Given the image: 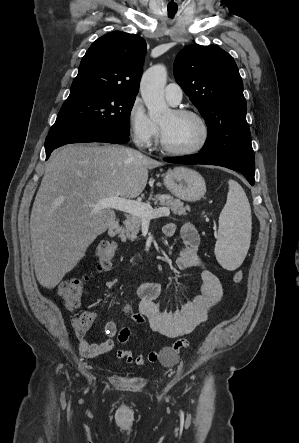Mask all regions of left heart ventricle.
<instances>
[{"label":"left heart ventricle","mask_w":299,"mask_h":443,"mask_svg":"<svg viewBox=\"0 0 299 443\" xmlns=\"http://www.w3.org/2000/svg\"><path fill=\"white\" fill-rule=\"evenodd\" d=\"M164 143L174 149H188L201 138V127L192 117L176 116L169 112L159 120Z\"/></svg>","instance_id":"1"}]
</instances>
